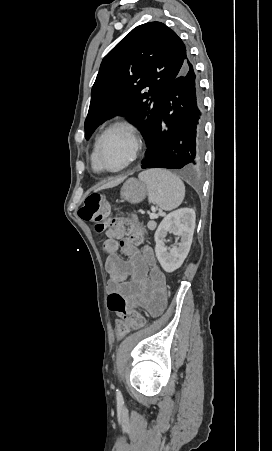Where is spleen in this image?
I'll list each match as a JSON object with an SVG mask.
<instances>
[{"label": "spleen", "mask_w": 272, "mask_h": 451, "mask_svg": "<svg viewBox=\"0 0 272 451\" xmlns=\"http://www.w3.org/2000/svg\"><path fill=\"white\" fill-rule=\"evenodd\" d=\"M138 178L146 184L150 204H157L166 212L182 204L185 198V186L175 174L161 168H153V170L140 172Z\"/></svg>", "instance_id": "3e777b00"}]
</instances>
